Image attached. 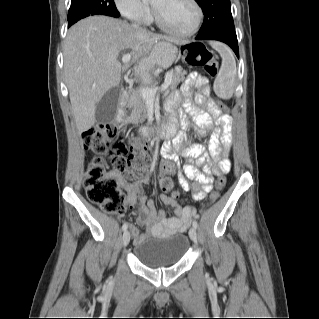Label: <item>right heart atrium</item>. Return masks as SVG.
Masks as SVG:
<instances>
[{
    "mask_svg": "<svg viewBox=\"0 0 319 319\" xmlns=\"http://www.w3.org/2000/svg\"><path fill=\"white\" fill-rule=\"evenodd\" d=\"M115 4L120 13L128 19L147 22L151 15V10L142 0H115Z\"/></svg>",
    "mask_w": 319,
    "mask_h": 319,
    "instance_id": "d8ad5b80",
    "label": "right heart atrium"
}]
</instances>
